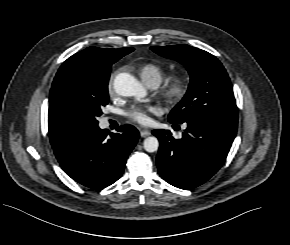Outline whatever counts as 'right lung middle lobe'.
<instances>
[{
  "mask_svg": "<svg viewBox=\"0 0 290 245\" xmlns=\"http://www.w3.org/2000/svg\"><path fill=\"white\" fill-rule=\"evenodd\" d=\"M118 59L92 62L68 58L58 70L50 95L84 128L98 126L108 104L111 65Z\"/></svg>",
  "mask_w": 290,
  "mask_h": 245,
  "instance_id": "right-lung-middle-lobe-1",
  "label": "right lung middle lobe"
}]
</instances>
